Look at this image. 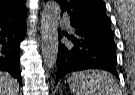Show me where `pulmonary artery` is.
<instances>
[{
  "label": "pulmonary artery",
  "mask_w": 135,
  "mask_h": 95,
  "mask_svg": "<svg viewBox=\"0 0 135 95\" xmlns=\"http://www.w3.org/2000/svg\"><path fill=\"white\" fill-rule=\"evenodd\" d=\"M62 23H64V24H68V22H67V21H65V20H64V21H62Z\"/></svg>",
  "instance_id": "e3ab8cb5"
}]
</instances>
